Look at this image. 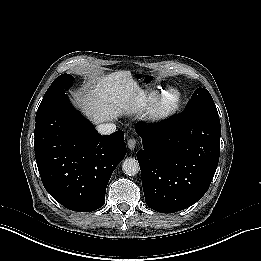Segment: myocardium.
Instances as JSON below:
<instances>
[{
    "instance_id": "myocardium-1",
    "label": "myocardium",
    "mask_w": 261,
    "mask_h": 261,
    "mask_svg": "<svg viewBox=\"0 0 261 261\" xmlns=\"http://www.w3.org/2000/svg\"><path fill=\"white\" fill-rule=\"evenodd\" d=\"M179 104L180 98L173 91H170L153 102L146 110L143 119L148 122L159 123L171 116L178 109Z\"/></svg>"
}]
</instances>
